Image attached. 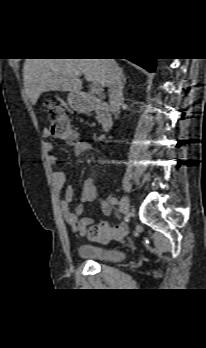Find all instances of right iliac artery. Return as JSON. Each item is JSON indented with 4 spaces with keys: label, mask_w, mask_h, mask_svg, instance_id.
Segmentation results:
<instances>
[{
    "label": "right iliac artery",
    "mask_w": 206,
    "mask_h": 348,
    "mask_svg": "<svg viewBox=\"0 0 206 348\" xmlns=\"http://www.w3.org/2000/svg\"><path fill=\"white\" fill-rule=\"evenodd\" d=\"M110 202H111V204H117V203H118V200H117V198H112V199L110 200Z\"/></svg>",
    "instance_id": "right-iliac-artery-1"
}]
</instances>
